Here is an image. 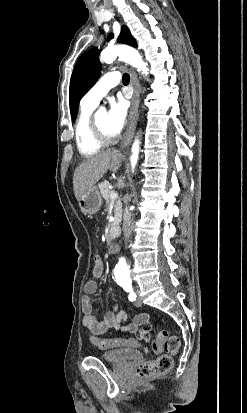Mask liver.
<instances>
[{
  "mask_svg": "<svg viewBox=\"0 0 247 413\" xmlns=\"http://www.w3.org/2000/svg\"><path fill=\"white\" fill-rule=\"evenodd\" d=\"M122 158H124V154L120 150H115V148L113 150L107 148V150H102V152H97V154L85 158L75 168L73 176V188L76 198H80L82 194L88 192L89 188H92L107 170H119L122 166Z\"/></svg>",
  "mask_w": 247,
  "mask_h": 413,
  "instance_id": "liver-1",
  "label": "liver"
}]
</instances>
